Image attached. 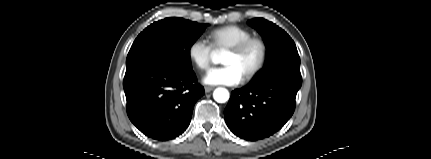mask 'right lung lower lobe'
I'll return each instance as SVG.
<instances>
[{"mask_svg": "<svg viewBox=\"0 0 431 159\" xmlns=\"http://www.w3.org/2000/svg\"><path fill=\"white\" fill-rule=\"evenodd\" d=\"M196 83L192 70L162 60L127 68L123 87L129 119L152 139H175L189 126L194 105L204 95Z\"/></svg>", "mask_w": 431, "mask_h": 159, "instance_id": "right-lung-lower-lobe-1", "label": "right lung lower lobe"}]
</instances>
